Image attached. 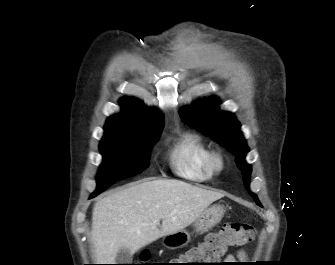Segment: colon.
Returning a JSON list of instances; mask_svg holds the SVG:
<instances>
[{
  "mask_svg": "<svg viewBox=\"0 0 335 265\" xmlns=\"http://www.w3.org/2000/svg\"><path fill=\"white\" fill-rule=\"evenodd\" d=\"M255 236V228L251 224L228 223L222 228L206 236L198 246L188 250L181 259L183 265H215L229 248L239 247L251 242ZM150 254L144 252L142 261H148ZM149 265V264H137Z\"/></svg>",
  "mask_w": 335,
  "mask_h": 265,
  "instance_id": "obj_1",
  "label": "colon"
}]
</instances>
